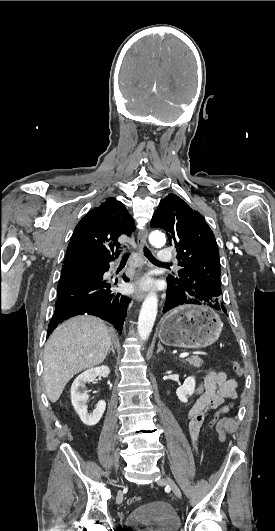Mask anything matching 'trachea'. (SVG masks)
Wrapping results in <instances>:
<instances>
[{"mask_svg": "<svg viewBox=\"0 0 275 531\" xmlns=\"http://www.w3.org/2000/svg\"><path fill=\"white\" fill-rule=\"evenodd\" d=\"M143 252L145 254V256L150 260V261H154L155 263H157L158 265H161V266H164V267H169L171 266V263H162L161 261H158V259H156L152 254L151 252L148 250V248H146V246H144V249H143ZM129 257V251L127 253H125V255H123V261H126Z\"/></svg>", "mask_w": 275, "mask_h": 531, "instance_id": "3493384b", "label": "trachea"}]
</instances>
